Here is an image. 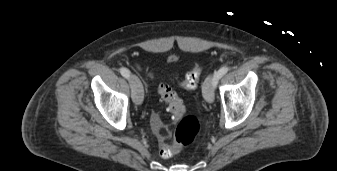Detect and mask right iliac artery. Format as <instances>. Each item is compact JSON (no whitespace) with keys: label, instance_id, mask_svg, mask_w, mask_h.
I'll use <instances>...</instances> for the list:
<instances>
[{"label":"right iliac artery","instance_id":"82829eb1","mask_svg":"<svg viewBox=\"0 0 337 171\" xmlns=\"http://www.w3.org/2000/svg\"><path fill=\"white\" fill-rule=\"evenodd\" d=\"M120 73H121V75L123 76V77H125V78H129V76H130V71L128 70V69H126V68H121L120 69Z\"/></svg>","mask_w":337,"mask_h":171}]
</instances>
